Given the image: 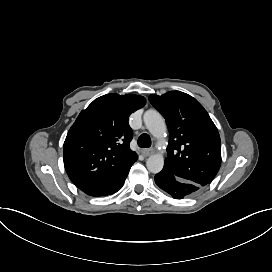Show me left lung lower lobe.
Masks as SVG:
<instances>
[{
  "mask_svg": "<svg viewBox=\"0 0 272 272\" xmlns=\"http://www.w3.org/2000/svg\"><path fill=\"white\" fill-rule=\"evenodd\" d=\"M155 182L163 191L175 199H183L193 195L202 188L196 183L176 177L165 169L155 175Z\"/></svg>",
  "mask_w": 272,
  "mask_h": 272,
  "instance_id": "0a47b994",
  "label": "left lung lower lobe"
}]
</instances>
